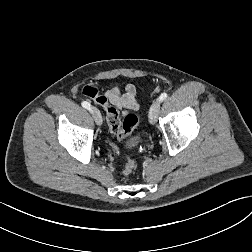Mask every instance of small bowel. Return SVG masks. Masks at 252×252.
Here are the masks:
<instances>
[{"label":"small bowel","mask_w":252,"mask_h":252,"mask_svg":"<svg viewBox=\"0 0 252 252\" xmlns=\"http://www.w3.org/2000/svg\"><path fill=\"white\" fill-rule=\"evenodd\" d=\"M103 97L109 104L117 107L122 115H125L128 111L137 110L139 108L137 89L132 84L126 85L123 90L118 87H113L108 90Z\"/></svg>","instance_id":"obj_1"}]
</instances>
